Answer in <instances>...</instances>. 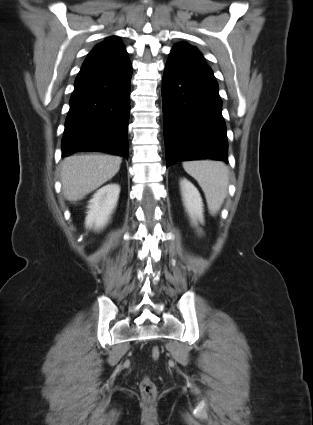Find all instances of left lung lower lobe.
<instances>
[{"label": "left lung lower lobe", "mask_w": 313, "mask_h": 425, "mask_svg": "<svg viewBox=\"0 0 313 425\" xmlns=\"http://www.w3.org/2000/svg\"><path fill=\"white\" fill-rule=\"evenodd\" d=\"M162 99L167 167L205 158L228 162L222 102L211 69L169 56Z\"/></svg>", "instance_id": "obj_1"}]
</instances>
